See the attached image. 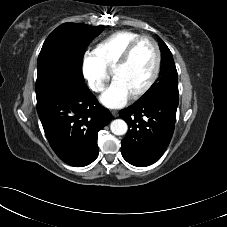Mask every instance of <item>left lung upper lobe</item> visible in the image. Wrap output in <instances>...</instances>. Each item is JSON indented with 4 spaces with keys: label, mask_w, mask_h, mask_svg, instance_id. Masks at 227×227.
<instances>
[{
    "label": "left lung upper lobe",
    "mask_w": 227,
    "mask_h": 227,
    "mask_svg": "<svg viewBox=\"0 0 227 227\" xmlns=\"http://www.w3.org/2000/svg\"><path fill=\"white\" fill-rule=\"evenodd\" d=\"M161 50L160 77L137 101H144L154 96H165L179 100L178 74L172 54L167 45L158 37Z\"/></svg>",
    "instance_id": "left-lung-upper-lobe-1"
}]
</instances>
